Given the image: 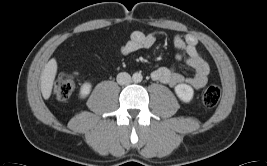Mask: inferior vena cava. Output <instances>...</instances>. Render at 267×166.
Wrapping results in <instances>:
<instances>
[{
    "instance_id": "inferior-vena-cava-1",
    "label": "inferior vena cava",
    "mask_w": 267,
    "mask_h": 166,
    "mask_svg": "<svg viewBox=\"0 0 267 166\" xmlns=\"http://www.w3.org/2000/svg\"><path fill=\"white\" fill-rule=\"evenodd\" d=\"M131 82V76L126 72H121L117 75V83L119 85H127Z\"/></svg>"
}]
</instances>
